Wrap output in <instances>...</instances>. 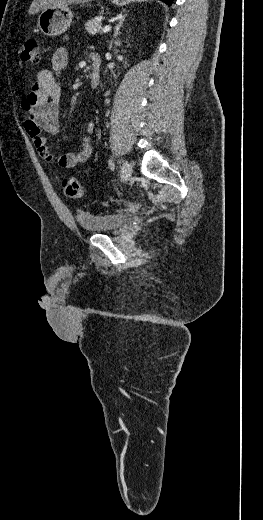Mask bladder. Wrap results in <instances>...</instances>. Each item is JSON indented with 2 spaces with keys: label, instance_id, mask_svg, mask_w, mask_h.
Here are the masks:
<instances>
[{
  "label": "bladder",
  "instance_id": "31cf9c89",
  "mask_svg": "<svg viewBox=\"0 0 263 520\" xmlns=\"http://www.w3.org/2000/svg\"><path fill=\"white\" fill-rule=\"evenodd\" d=\"M76 221L81 229L86 232L102 233L120 229L125 225L127 217L120 213L94 214L80 212L76 215Z\"/></svg>",
  "mask_w": 263,
  "mask_h": 520
}]
</instances>
